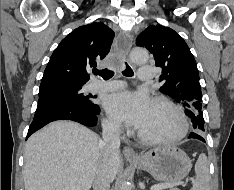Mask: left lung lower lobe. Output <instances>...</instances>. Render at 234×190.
I'll return each mask as SVG.
<instances>
[{"label": "left lung lower lobe", "instance_id": "0a47b994", "mask_svg": "<svg viewBox=\"0 0 234 190\" xmlns=\"http://www.w3.org/2000/svg\"><path fill=\"white\" fill-rule=\"evenodd\" d=\"M189 138H194V139H198V140H201V141L205 142L204 138L201 137L198 133L192 132V133L189 135Z\"/></svg>", "mask_w": 234, "mask_h": 190}]
</instances>
